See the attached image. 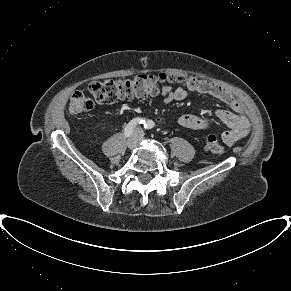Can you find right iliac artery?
Instances as JSON below:
<instances>
[{"label":"right iliac artery","instance_id":"1","mask_svg":"<svg viewBox=\"0 0 291 291\" xmlns=\"http://www.w3.org/2000/svg\"><path fill=\"white\" fill-rule=\"evenodd\" d=\"M145 119L143 118H134L133 120H131L127 126L125 127L124 129V134L126 137H129L133 131H134V128L136 127L137 124H145Z\"/></svg>","mask_w":291,"mask_h":291}]
</instances>
